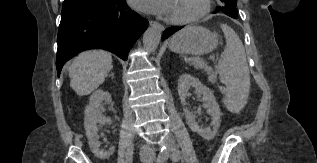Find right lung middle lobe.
Returning a JSON list of instances; mask_svg holds the SVG:
<instances>
[{
  "mask_svg": "<svg viewBox=\"0 0 317 163\" xmlns=\"http://www.w3.org/2000/svg\"><path fill=\"white\" fill-rule=\"evenodd\" d=\"M111 0H67L63 3L62 14L84 9L91 5L106 3Z\"/></svg>",
  "mask_w": 317,
  "mask_h": 163,
  "instance_id": "1",
  "label": "right lung middle lobe"
}]
</instances>
